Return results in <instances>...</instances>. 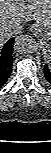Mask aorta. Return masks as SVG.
Segmentation results:
<instances>
[{
  "instance_id": "obj_1",
  "label": "aorta",
  "mask_w": 51,
  "mask_h": 153,
  "mask_svg": "<svg viewBox=\"0 0 51 153\" xmlns=\"http://www.w3.org/2000/svg\"><path fill=\"white\" fill-rule=\"evenodd\" d=\"M34 47V40L28 35L18 36L14 41V50L19 54L29 53Z\"/></svg>"
}]
</instances>
